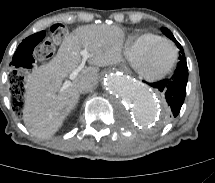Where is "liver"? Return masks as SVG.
I'll list each match as a JSON object with an SVG mask.
<instances>
[{"instance_id":"6515ba94","label":"liver","mask_w":215,"mask_h":183,"mask_svg":"<svg viewBox=\"0 0 215 183\" xmlns=\"http://www.w3.org/2000/svg\"><path fill=\"white\" fill-rule=\"evenodd\" d=\"M123 39L124 32L117 26H80L63 40L49 63L33 70L25 85L23 109L24 124L32 135L49 138L62 127L79 100V83H97L98 67L118 63ZM81 48L88 50V62L94 66L82 69L61 91L63 80L81 62Z\"/></svg>"}]
</instances>
